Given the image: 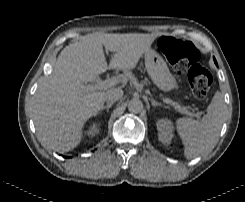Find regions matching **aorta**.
<instances>
[{"mask_svg": "<svg viewBox=\"0 0 245 202\" xmlns=\"http://www.w3.org/2000/svg\"><path fill=\"white\" fill-rule=\"evenodd\" d=\"M128 109L133 113H140L143 109V103L139 99H132L128 103Z\"/></svg>", "mask_w": 245, "mask_h": 202, "instance_id": "762f6f07", "label": "aorta"}]
</instances>
